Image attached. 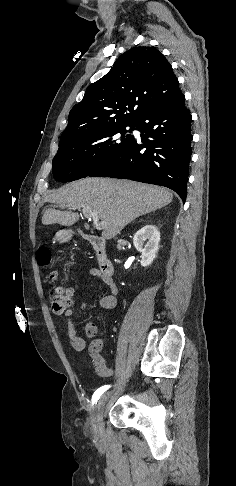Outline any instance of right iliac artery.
Listing matches in <instances>:
<instances>
[{
    "mask_svg": "<svg viewBox=\"0 0 236 486\" xmlns=\"http://www.w3.org/2000/svg\"><path fill=\"white\" fill-rule=\"evenodd\" d=\"M110 386L109 385H105V386H102L100 387L99 389H97L95 391V393L93 394L92 396V405H94L95 403H97V400L100 398V396L109 388Z\"/></svg>",
    "mask_w": 236,
    "mask_h": 486,
    "instance_id": "82829eb1",
    "label": "right iliac artery"
}]
</instances>
